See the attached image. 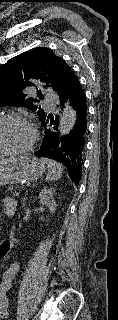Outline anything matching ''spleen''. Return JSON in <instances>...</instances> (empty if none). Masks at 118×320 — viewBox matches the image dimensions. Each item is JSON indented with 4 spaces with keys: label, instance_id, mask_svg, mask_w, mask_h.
Listing matches in <instances>:
<instances>
[{
    "label": "spleen",
    "instance_id": "obj_1",
    "mask_svg": "<svg viewBox=\"0 0 118 320\" xmlns=\"http://www.w3.org/2000/svg\"><path fill=\"white\" fill-rule=\"evenodd\" d=\"M42 161L47 165L46 181H56L62 177L63 166L51 159L42 158Z\"/></svg>",
    "mask_w": 118,
    "mask_h": 320
}]
</instances>
